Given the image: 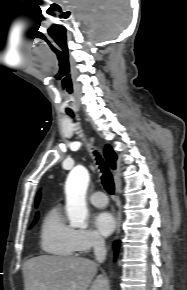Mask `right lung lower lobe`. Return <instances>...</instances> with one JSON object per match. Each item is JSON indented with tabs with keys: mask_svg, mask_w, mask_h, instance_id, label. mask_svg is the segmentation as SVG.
I'll return each instance as SVG.
<instances>
[{
	"mask_svg": "<svg viewBox=\"0 0 187 290\" xmlns=\"http://www.w3.org/2000/svg\"><path fill=\"white\" fill-rule=\"evenodd\" d=\"M114 248H115V251L117 252L118 251V248H119V243L118 242L115 243Z\"/></svg>",
	"mask_w": 187,
	"mask_h": 290,
	"instance_id": "right-lung-lower-lobe-1",
	"label": "right lung lower lobe"
}]
</instances>
